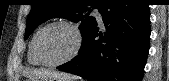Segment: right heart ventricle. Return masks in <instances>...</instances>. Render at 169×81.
<instances>
[{
  "label": "right heart ventricle",
  "mask_w": 169,
  "mask_h": 81,
  "mask_svg": "<svg viewBox=\"0 0 169 81\" xmlns=\"http://www.w3.org/2000/svg\"><path fill=\"white\" fill-rule=\"evenodd\" d=\"M37 32L32 36V38L30 40V43H29V46H28V55H27V58H28L29 64L35 65V66H40L41 64L37 60V58H36V56L34 54V40H35Z\"/></svg>",
  "instance_id": "e07e8e85"
}]
</instances>
